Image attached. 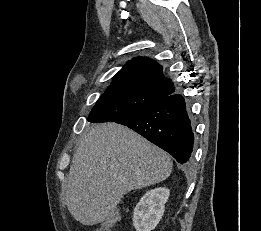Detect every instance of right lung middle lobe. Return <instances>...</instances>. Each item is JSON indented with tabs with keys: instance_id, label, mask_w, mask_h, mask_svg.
Returning <instances> with one entry per match:
<instances>
[{
	"instance_id": "1",
	"label": "right lung middle lobe",
	"mask_w": 261,
	"mask_h": 231,
	"mask_svg": "<svg viewBox=\"0 0 261 231\" xmlns=\"http://www.w3.org/2000/svg\"><path fill=\"white\" fill-rule=\"evenodd\" d=\"M159 97L143 89L127 87L107 90L88 117L89 122H117L157 103Z\"/></svg>"
}]
</instances>
